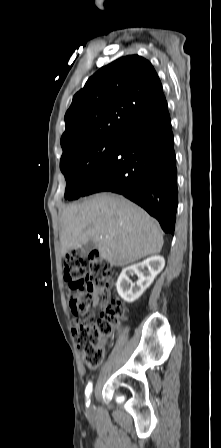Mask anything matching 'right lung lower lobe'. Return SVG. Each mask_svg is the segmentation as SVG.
Returning <instances> with one entry per match:
<instances>
[{
	"instance_id": "1",
	"label": "right lung lower lobe",
	"mask_w": 221,
	"mask_h": 448,
	"mask_svg": "<svg viewBox=\"0 0 221 448\" xmlns=\"http://www.w3.org/2000/svg\"><path fill=\"white\" fill-rule=\"evenodd\" d=\"M102 191L124 195L155 217L164 232L174 235L177 169L166 100L120 133L82 196Z\"/></svg>"
}]
</instances>
